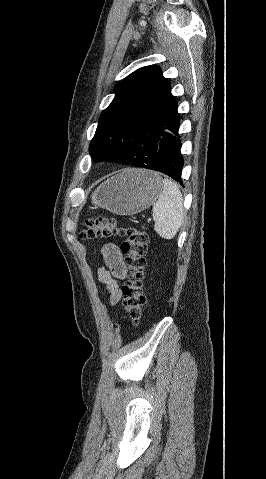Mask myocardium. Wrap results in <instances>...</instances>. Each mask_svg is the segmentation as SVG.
I'll use <instances>...</instances> for the list:
<instances>
[{"instance_id": "obj_1", "label": "myocardium", "mask_w": 266, "mask_h": 479, "mask_svg": "<svg viewBox=\"0 0 266 479\" xmlns=\"http://www.w3.org/2000/svg\"><path fill=\"white\" fill-rule=\"evenodd\" d=\"M104 160H105V159H104L103 157L100 159L101 162H104Z\"/></svg>"}]
</instances>
